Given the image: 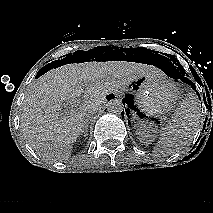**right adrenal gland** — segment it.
Returning <instances> with one entry per match:
<instances>
[{
	"label": "right adrenal gland",
	"instance_id": "1",
	"mask_svg": "<svg viewBox=\"0 0 213 213\" xmlns=\"http://www.w3.org/2000/svg\"><path fill=\"white\" fill-rule=\"evenodd\" d=\"M88 125H89V123H88V122H86V123H85V126H84V129H83V131H82V134L84 133V137H86V136H87V132H88Z\"/></svg>",
	"mask_w": 213,
	"mask_h": 213
}]
</instances>
